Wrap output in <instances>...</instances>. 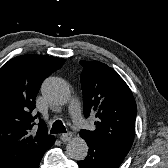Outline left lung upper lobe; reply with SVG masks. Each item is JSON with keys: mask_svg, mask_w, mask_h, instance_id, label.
I'll return each instance as SVG.
<instances>
[{"mask_svg": "<svg viewBox=\"0 0 168 168\" xmlns=\"http://www.w3.org/2000/svg\"><path fill=\"white\" fill-rule=\"evenodd\" d=\"M84 116L95 115L96 129L81 130L90 137L128 154L135 136L136 103L128 85L111 67L99 61H80Z\"/></svg>", "mask_w": 168, "mask_h": 168, "instance_id": "5c2ea615", "label": "left lung upper lobe"}]
</instances>
